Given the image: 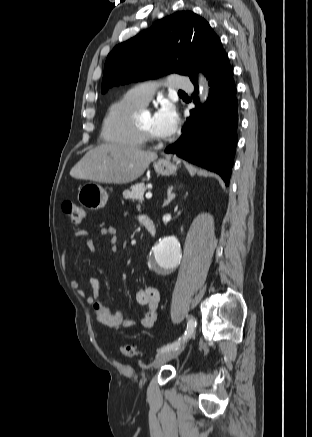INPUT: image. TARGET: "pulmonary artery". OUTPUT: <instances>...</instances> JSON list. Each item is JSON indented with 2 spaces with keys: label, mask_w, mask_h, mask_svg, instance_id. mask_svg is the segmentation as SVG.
<instances>
[{
  "label": "pulmonary artery",
  "mask_w": 312,
  "mask_h": 437,
  "mask_svg": "<svg viewBox=\"0 0 312 437\" xmlns=\"http://www.w3.org/2000/svg\"><path fill=\"white\" fill-rule=\"evenodd\" d=\"M155 82H145L137 85L128 92L136 102L146 105L152 98L155 92ZM166 85L172 89H190L192 87L191 81L184 75L174 74L166 80Z\"/></svg>",
  "instance_id": "pulmonary-artery-1"
}]
</instances>
